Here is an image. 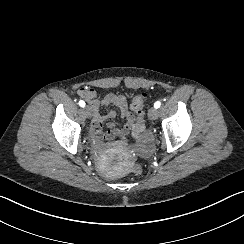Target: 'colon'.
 <instances>
[{"mask_svg":"<svg viewBox=\"0 0 244 244\" xmlns=\"http://www.w3.org/2000/svg\"><path fill=\"white\" fill-rule=\"evenodd\" d=\"M92 95L90 91L85 92V96L88 97ZM146 101V95L145 94H138L135 96L131 102V110L132 112L137 116V121L133 124V127L131 128L132 133L135 136H139L142 133H144V105ZM119 144L122 147H127L130 144V139L127 136H122L119 139ZM133 172L136 175H141L144 172V167L141 164H136L133 167Z\"/></svg>","mask_w":244,"mask_h":244,"instance_id":"obj_1","label":"colon"}]
</instances>
